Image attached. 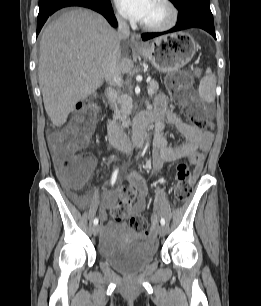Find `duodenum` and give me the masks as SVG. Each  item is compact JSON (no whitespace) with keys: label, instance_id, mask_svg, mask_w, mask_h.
<instances>
[{"label":"duodenum","instance_id":"duodenum-1","mask_svg":"<svg viewBox=\"0 0 261 306\" xmlns=\"http://www.w3.org/2000/svg\"><path fill=\"white\" fill-rule=\"evenodd\" d=\"M116 96L117 93L114 90H110L107 93V98L110 102H113L116 99ZM154 121L155 117L150 112L137 116L132 124L133 143H131L121 126L114 119H109L107 123L109 140L112 145L122 151H128L132 147H138L145 139L146 128Z\"/></svg>","mask_w":261,"mask_h":306}]
</instances>
